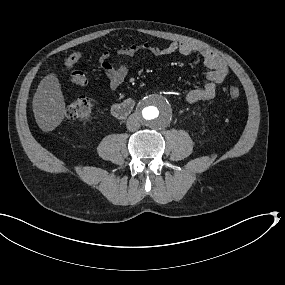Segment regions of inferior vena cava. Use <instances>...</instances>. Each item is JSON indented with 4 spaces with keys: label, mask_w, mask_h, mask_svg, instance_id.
<instances>
[{
    "label": "inferior vena cava",
    "mask_w": 285,
    "mask_h": 285,
    "mask_svg": "<svg viewBox=\"0 0 285 285\" xmlns=\"http://www.w3.org/2000/svg\"><path fill=\"white\" fill-rule=\"evenodd\" d=\"M129 131H137L140 127L139 118L135 114H131L126 123Z\"/></svg>",
    "instance_id": "602c4592"
}]
</instances>
